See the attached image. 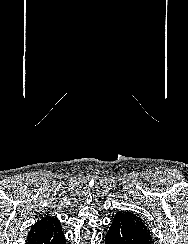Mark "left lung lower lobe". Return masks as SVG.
Listing matches in <instances>:
<instances>
[{"label": "left lung lower lobe", "instance_id": "obj_1", "mask_svg": "<svg viewBox=\"0 0 188 244\" xmlns=\"http://www.w3.org/2000/svg\"><path fill=\"white\" fill-rule=\"evenodd\" d=\"M105 244H153L123 213L117 212L105 236Z\"/></svg>", "mask_w": 188, "mask_h": 244}]
</instances>
